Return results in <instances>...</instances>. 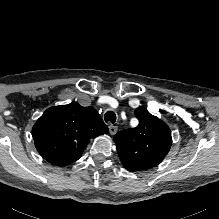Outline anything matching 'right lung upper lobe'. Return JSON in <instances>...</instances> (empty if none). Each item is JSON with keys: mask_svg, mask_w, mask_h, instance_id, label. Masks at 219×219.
<instances>
[{"mask_svg": "<svg viewBox=\"0 0 219 219\" xmlns=\"http://www.w3.org/2000/svg\"><path fill=\"white\" fill-rule=\"evenodd\" d=\"M32 133L40 155L64 167L81 157L90 139L108 133V127L95 109L72 102L47 109Z\"/></svg>", "mask_w": 219, "mask_h": 219, "instance_id": "right-lung-upper-lobe-1", "label": "right lung upper lobe"}]
</instances>
